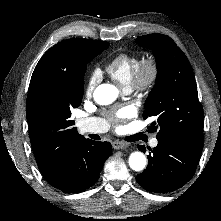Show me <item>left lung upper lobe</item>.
Masks as SVG:
<instances>
[{
    "label": "left lung upper lobe",
    "instance_id": "obj_1",
    "mask_svg": "<svg viewBox=\"0 0 221 221\" xmlns=\"http://www.w3.org/2000/svg\"><path fill=\"white\" fill-rule=\"evenodd\" d=\"M136 42L151 48L157 63L156 84L143 112L144 119L156 118L149 131L158 130L157 139L203 140V109L185 54L170 37L162 34L144 35Z\"/></svg>",
    "mask_w": 221,
    "mask_h": 221
}]
</instances>
